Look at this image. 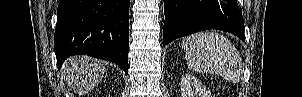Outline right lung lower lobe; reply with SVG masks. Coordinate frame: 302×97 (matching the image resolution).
Masks as SVG:
<instances>
[{
  "instance_id": "98d812e1",
  "label": "right lung lower lobe",
  "mask_w": 302,
  "mask_h": 97,
  "mask_svg": "<svg viewBox=\"0 0 302 97\" xmlns=\"http://www.w3.org/2000/svg\"><path fill=\"white\" fill-rule=\"evenodd\" d=\"M130 0H61L54 50L58 69L73 55L115 62L128 73Z\"/></svg>"
}]
</instances>
